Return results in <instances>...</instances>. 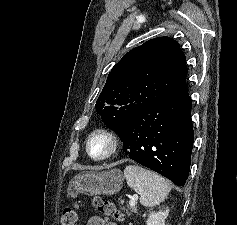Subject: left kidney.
<instances>
[{
    "label": "left kidney",
    "instance_id": "5707ae66",
    "mask_svg": "<svg viewBox=\"0 0 237 225\" xmlns=\"http://www.w3.org/2000/svg\"><path fill=\"white\" fill-rule=\"evenodd\" d=\"M169 209L150 213L146 225H165V219L168 217Z\"/></svg>",
    "mask_w": 237,
    "mask_h": 225
}]
</instances>
